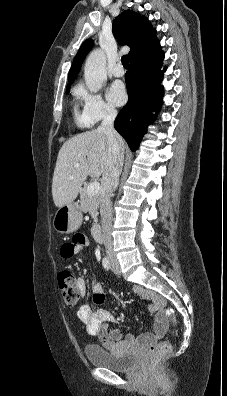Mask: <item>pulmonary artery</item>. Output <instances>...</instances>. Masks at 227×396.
I'll use <instances>...</instances> for the list:
<instances>
[{
	"label": "pulmonary artery",
	"mask_w": 227,
	"mask_h": 396,
	"mask_svg": "<svg viewBox=\"0 0 227 396\" xmlns=\"http://www.w3.org/2000/svg\"><path fill=\"white\" fill-rule=\"evenodd\" d=\"M112 74L115 77H121L124 75V69L122 68L121 65H116L112 70H111Z\"/></svg>",
	"instance_id": "e3ab8cb5"
}]
</instances>
